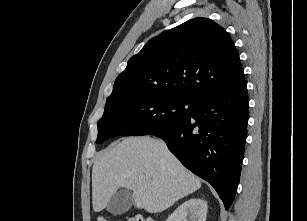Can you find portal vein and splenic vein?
<instances>
[{
    "label": "portal vein and splenic vein",
    "mask_w": 307,
    "mask_h": 221,
    "mask_svg": "<svg viewBox=\"0 0 307 221\" xmlns=\"http://www.w3.org/2000/svg\"><path fill=\"white\" fill-rule=\"evenodd\" d=\"M145 177H146L145 175H140L139 176L140 179H145Z\"/></svg>",
    "instance_id": "portal-vein-and-splenic-vein-1"
}]
</instances>
